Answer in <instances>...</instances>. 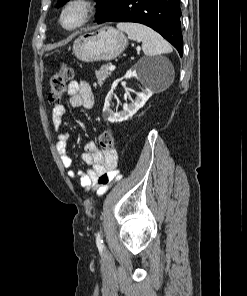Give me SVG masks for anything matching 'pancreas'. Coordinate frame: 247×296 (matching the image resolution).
<instances>
[{
	"mask_svg": "<svg viewBox=\"0 0 247 296\" xmlns=\"http://www.w3.org/2000/svg\"><path fill=\"white\" fill-rule=\"evenodd\" d=\"M112 71L109 70L108 65L102 66L99 70L95 71V75L99 85H102L105 80L111 75Z\"/></svg>",
	"mask_w": 247,
	"mask_h": 296,
	"instance_id": "cf45deb5",
	"label": "pancreas"
}]
</instances>
